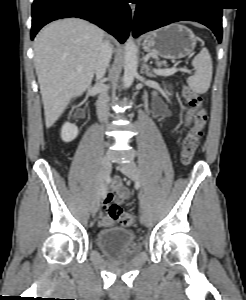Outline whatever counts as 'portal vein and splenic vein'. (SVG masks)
Instances as JSON below:
<instances>
[{
	"label": "portal vein and splenic vein",
	"instance_id": "18ae733b",
	"mask_svg": "<svg viewBox=\"0 0 246 300\" xmlns=\"http://www.w3.org/2000/svg\"><path fill=\"white\" fill-rule=\"evenodd\" d=\"M178 70H179V71H182V72H185V73H188V74L191 73L190 70L185 69V68H181V69L171 68V69H161V70L154 69V72H155L157 75H160V76H171V75H173L174 73H176Z\"/></svg>",
	"mask_w": 246,
	"mask_h": 300
}]
</instances>
